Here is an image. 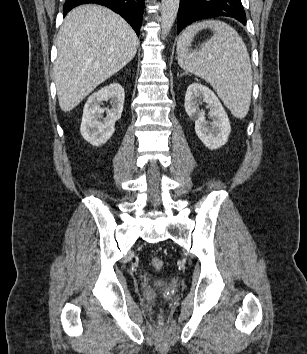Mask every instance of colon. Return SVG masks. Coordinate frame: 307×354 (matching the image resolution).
I'll return each instance as SVG.
<instances>
[{
	"instance_id": "colon-1",
	"label": "colon",
	"mask_w": 307,
	"mask_h": 354,
	"mask_svg": "<svg viewBox=\"0 0 307 354\" xmlns=\"http://www.w3.org/2000/svg\"><path fill=\"white\" fill-rule=\"evenodd\" d=\"M151 264H152V267L156 270V271H159L162 269L163 267V260L159 257H154L152 258L151 260Z\"/></svg>"
}]
</instances>
